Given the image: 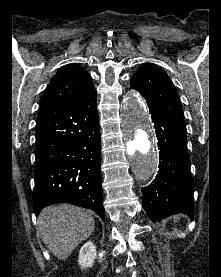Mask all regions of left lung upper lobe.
Returning <instances> with one entry per match:
<instances>
[{
  "label": "left lung upper lobe",
  "instance_id": "left-lung-upper-lobe-1",
  "mask_svg": "<svg viewBox=\"0 0 221 277\" xmlns=\"http://www.w3.org/2000/svg\"><path fill=\"white\" fill-rule=\"evenodd\" d=\"M140 92L147 104L156 107L182 131H186L180 97L165 71L153 64H144L132 77L131 86Z\"/></svg>",
  "mask_w": 221,
  "mask_h": 277
}]
</instances>
